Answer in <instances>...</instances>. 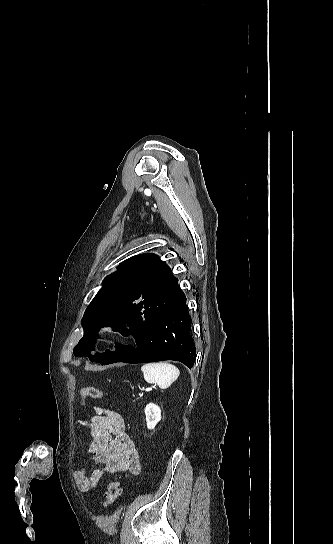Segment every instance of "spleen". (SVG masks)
Returning <instances> with one entry per match:
<instances>
[{"label": "spleen", "instance_id": "3e777b00", "mask_svg": "<svg viewBox=\"0 0 333 544\" xmlns=\"http://www.w3.org/2000/svg\"><path fill=\"white\" fill-rule=\"evenodd\" d=\"M146 382L168 388L179 377V370L168 362L147 363L141 367Z\"/></svg>", "mask_w": 333, "mask_h": 544}]
</instances>
